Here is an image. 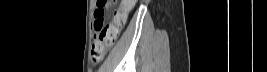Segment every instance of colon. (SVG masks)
<instances>
[{
  "label": "colon",
  "mask_w": 267,
  "mask_h": 72,
  "mask_svg": "<svg viewBox=\"0 0 267 72\" xmlns=\"http://www.w3.org/2000/svg\"><path fill=\"white\" fill-rule=\"evenodd\" d=\"M110 0L97 1V7L94 11V19L91 24V28L94 32V41L91 47V60L93 63H99L105 56L106 51L115 43L120 27L111 22L108 25L104 23V15L106 6L114 3ZM122 8L115 10L114 15H122Z\"/></svg>",
  "instance_id": "colon-1"
}]
</instances>
